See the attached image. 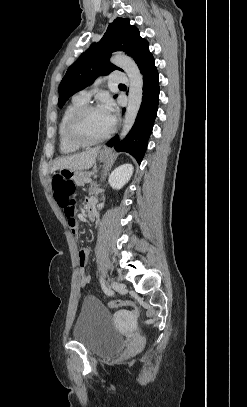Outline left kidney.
Instances as JSON below:
<instances>
[{
  "instance_id": "left-kidney-1",
  "label": "left kidney",
  "mask_w": 247,
  "mask_h": 407,
  "mask_svg": "<svg viewBox=\"0 0 247 407\" xmlns=\"http://www.w3.org/2000/svg\"><path fill=\"white\" fill-rule=\"evenodd\" d=\"M133 172V166L131 164H123L117 167L109 178L110 186L113 189H121L130 179Z\"/></svg>"
}]
</instances>
